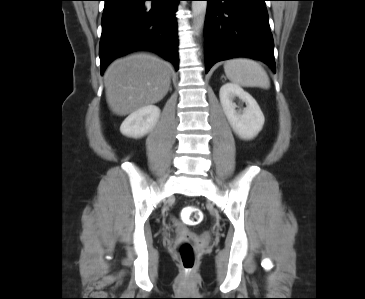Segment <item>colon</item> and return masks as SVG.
I'll use <instances>...</instances> for the list:
<instances>
[{
  "mask_svg": "<svg viewBox=\"0 0 365 299\" xmlns=\"http://www.w3.org/2000/svg\"><path fill=\"white\" fill-rule=\"evenodd\" d=\"M181 220L188 226H196L203 221V213L196 205H187L181 211ZM178 254L185 269L194 266L195 252L190 242L183 241L178 246Z\"/></svg>",
  "mask_w": 365,
  "mask_h": 299,
  "instance_id": "5ec220e1",
  "label": "colon"
}]
</instances>
